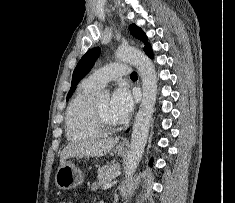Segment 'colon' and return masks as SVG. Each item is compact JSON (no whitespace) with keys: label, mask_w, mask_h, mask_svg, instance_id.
I'll return each mask as SVG.
<instances>
[{"label":"colon","mask_w":235,"mask_h":203,"mask_svg":"<svg viewBox=\"0 0 235 203\" xmlns=\"http://www.w3.org/2000/svg\"><path fill=\"white\" fill-rule=\"evenodd\" d=\"M59 203H76V202L75 200L68 198V199L60 201Z\"/></svg>","instance_id":"5ec220e1"}]
</instances>
